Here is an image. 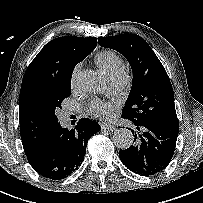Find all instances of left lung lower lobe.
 I'll return each mask as SVG.
<instances>
[{"instance_id": "1", "label": "left lung lower lobe", "mask_w": 203, "mask_h": 203, "mask_svg": "<svg viewBox=\"0 0 203 203\" xmlns=\"http://www.w3.org/2000/svg\"><path fill=\"white\" fill-rule=\"evenodd\" d=\"M134 124L135 144L119 152L121 162L132 172L150 176L165 169L174 154L178 123L144 121Z\"/></svg>"}]
</instances>
